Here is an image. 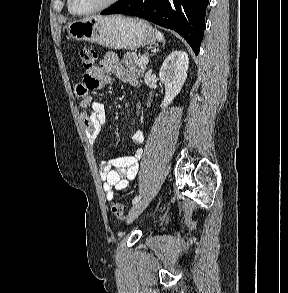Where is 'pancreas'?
I'll list each match as a JSON object with an SVG mask.
<instances>
[{
	"label": "pancreas",
	"instance_id": "1",
	"mask_svg": "<svg viewBox=\"0 0 288 293\" xmlns=\"http://www.w3.org/2000/svg\"><path fill=\"white\" fill-rule=\"evenodd\" d=\"M122 64L125 65L128 71L137 75V77L143 76L146 71V65L140 63L136 53L126 52L122 59Z\"/></svg>",
	"mask_w": 288,
	"mask_h": 293
}]
</instances>
